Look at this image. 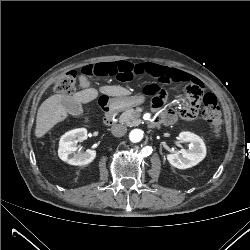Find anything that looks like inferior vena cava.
Segmentation results:
<instances>
[{"mask_svg": "<svg viewBox=\"0 0 250 250\" xmlns=\"http://www.w3.org/2000/svg\"><path fill=\"white\" fill-rule=\"evenodd\" d=\"M111 132L116 137H122L127 132V127L124 125L116 124L111 127Z\"/></svg>", "mask_w": 250, "mask_h": 250, "instance_id": "1", "label": "inferior vena cava"}]
</instances>
